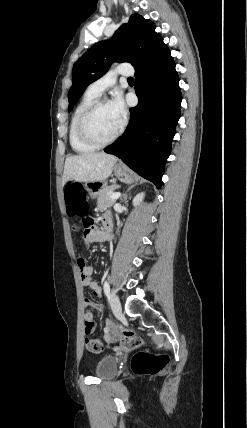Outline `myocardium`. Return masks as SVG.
<instances>
[{"mask_svg": "<svg viewBox=\"0 0 247 428\" xmlns=\"http://www.w3.org/2000/svg\"><path fill=\"white\" fill-rule=\"evenodd\" d=\"M107 105V102L103 99H97L92 102L81 114L78 121V133L81 139L89 145L96 148H101L112 144L120 135L122 126H119L115 133L107 140L100 141L96 139L89 130V119L92 114L101 106Z\"/></svg>", "mask_w": 247, "mask_h": 428, "instance_id": "obj_1", "label": "myocardium"}]
</instances>
